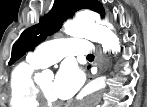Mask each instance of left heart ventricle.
Instances as JSON below:
<instances>
[{"label": "left heart ventricle", "mask_w": 147, "mask_h": 107, "mask_svg": "<svg viewBox=\"0 0 147 107\" xmlns=\"http://www.w3.org/2000/svg\"><path fill=\"white\" fill-rule=\"evenodd\" d=\"M40 85L44 91V93L52 100L58 101L59 98H57L53 93V85H54V79L53 77H47L43 78L40 81Z\"/></svg>", "instance_id": "left-heart-ventricle-1"}]
</instances>
